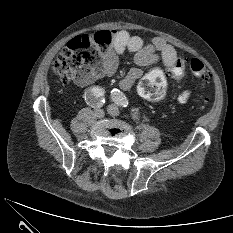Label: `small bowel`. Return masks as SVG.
I'll use <instances>...</instances> for the list:
<instances>
[{
	"mask_svg": "<svg viewBox=\"0 0 233 233\" xmlns=\"http://www.w3.org/2000/svg\"><path fill=\"white\" fill-rule=\"evenodd\" d=\"M112 46L108 51L103 73L112 75L117 68L118 57L126 51L134 54V61L138 66L146 67L161 62L170 69L177 60L175 48L164 39L156 37L150 42H145L141 37L131 35L126 30H113ZM143 76L140 68L130 70L120 81L119 86L123 90H129ZM189 90L183 91L178 96V102L184 104L190 97Z\"/></svg>",
	"mask_w": 233,
	"mask_h": 233,
	"instance_id": "small-bowel-1",
	"label": "small bowel"
}]
</instances>
